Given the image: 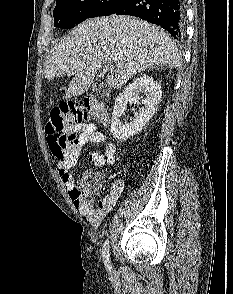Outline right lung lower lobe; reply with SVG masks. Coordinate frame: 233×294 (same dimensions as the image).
Listing matches in <instances>:
<instances>
[{
    "mask_svg": "<svg viewBox=\"0 0 233 294\" xmlns=\"http://www.w3.org/2000/svg\"><path fill=\"white\" fill-rule=\"evenodd\" d=\"M111 14L132 15L160 25L179 41L183 36V0H123Z\"/></svg>",
    "mask_w": 233,
    "mask_h": 294,
    "instance_id": "1",
    "label": "right lung lower lobe"
}]
</instances>
